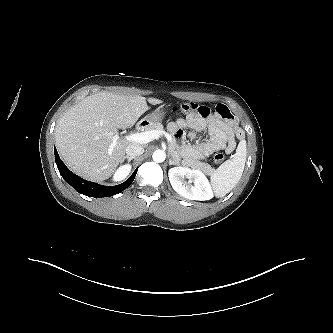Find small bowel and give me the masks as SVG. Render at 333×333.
Instances as JSON below:
<instances>
[{
	"instance_id": "small-bowel-1",
	"label": "small bowel",
	"mask_w": 333,
	"mask_h": 333,
	"mask_svg": "<svg viewBox=\"0 0 333 333\" xmlns=\"http://www.w3.org/2000/svg\"><path fill=\"white\" fill-rule=\"evenodd\" d=\"M169 130L179 140L185 138V128L195 132L207 131L209 139L198 143H184L182 152L196 159H204L219 150L231 153L236 147V141L244 138V132L239 128L236 118L224 104H218L214 110L202 106L199 111L190 112L184 118H178L168 124ZM194 133L189 134L193 140Z\"/></svg>"
}]
</instances>
